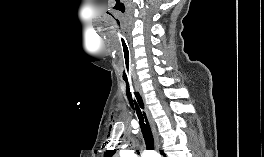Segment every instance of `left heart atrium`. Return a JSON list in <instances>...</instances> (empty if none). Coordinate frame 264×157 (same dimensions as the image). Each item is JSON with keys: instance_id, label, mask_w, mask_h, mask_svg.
<instances>
[{"instance_id": "1", "label": "left heart atrium", "mask_w": 264, "mask_h": 157, "mask_svg": "<svg viewBox=\"0 0 264 157\" xmlns=\"http://www.w3.org/2000/svg\"><path fill=\"white\" fill-rule=\"evenodd\" d=\"M147 157H156L154 154H151V155H149V156H147Z\"/></svg>"}]
</instances>
